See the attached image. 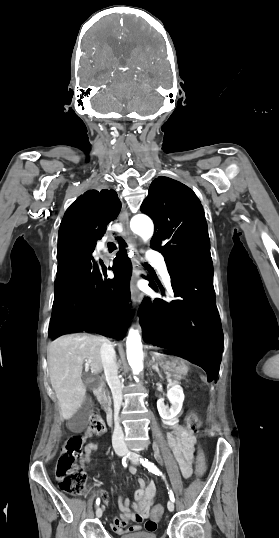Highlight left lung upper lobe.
Listing matches in <instances>:
<instances>
[{
  "mask_svg": "<svg viewBox=\"0 0 279 538\" xmlns=\"http://www.w3.org/2000/svg\"><path fill=\"white\" fill-rule=\"evenodd\" d=\"M141 212L154 221L151 247L164 255L169 272L213 267L204 211L190 188L158 177L150 185Z\"/></svg>",
  "mask_w": 279,
  "mask_h": 538,
  "instance_id": "obj_1",
  "label": "left lung upper lobe"
}]
</instances>
